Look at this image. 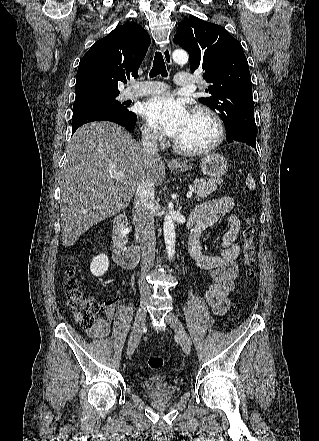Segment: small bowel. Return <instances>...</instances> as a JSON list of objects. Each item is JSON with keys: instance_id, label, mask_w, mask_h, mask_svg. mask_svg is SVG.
<instances>
[{"instance_id": "1", "label": "small bowel", "mask_w": 319, "mask_h": 441, "mask_svg": "<svg viewBox=\"0 0 319 441\" xmlns=\"http://www.w3.org/2000/svg\"><path fill=\"white\" fill-rule=\"evenodd\" d=\"M234 200L231 197L212 199L198 206L189 216L188 226L191 228L188 248L192 259L203 270L211 272L212 282L209 283L204 296L215 314H224L230 305L229 293L234 288V281L239 270L236 263L240 254L237 242L241 224L237 216L231 213ZM227 218L228 230L222 237L221 251L218 255L203 253L200 242L201 234L220 219ZM125 298L109 301L101 306L103 316L97 318L92 328L86 329L91 339H105L110 335L115 310Z\"/></svg>"}]
</instances>
